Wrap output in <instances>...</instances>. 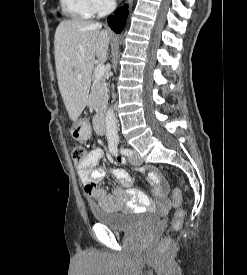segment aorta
<instances>
[{
    "mask_svg": "<svg viewBox=\"0 0 247 275\" xmlns=\"http://www.w3.org/2000/svg\"><path fill=\"white\" fill-rule=\"evenodd\" d=\"M105 126H106V136L108 140H117L118 131H117V122L114 110L110 107L107 110L105 117Z\"/></svg>",
    "mask_w": 247,
    "mask_h": 275,
    "instance_id": "obj_1",
    "label": "aorta"
}]
</instances>
